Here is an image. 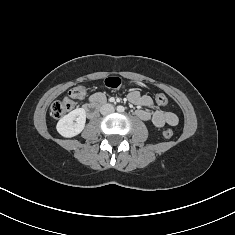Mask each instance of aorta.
I'll return each mask as SVG.
<instances>
[{
    "mask_svg": "<svg viewBox=\"0 0 235 235\" xmlns=\"http://www.w3.org/2000/svg\"><path fill=\"white\" fill-rule=\"evenodd\" d=\"M124 109L122 107L118 108V111L122 112Z\"/></svg>",
    "mask_w": 235,
    "mask_h": 235,
    "instance_id": "762f6f07",
    "label": "aorta"
}]
</instances>
